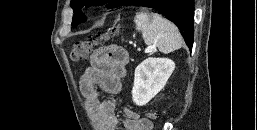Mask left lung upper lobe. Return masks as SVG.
<instances>
[{"label": "left lung upper lobe", "mask_w": 257, "mask_h": 130, "mask_svg": "<svg viewBox=\"0 0 257 130\" xmlns=\"http://www.w3.org/2000/svg\"><path fill=\"white\" fill-rule=\"evenodd\" d=\"M136 1L137 0H112L111 2L110 0H71L70 5L74 10L72 26H77L79 23L86 21V17L80 11V9L85 5L88 7L97 3L110 2L108 7L114 8L129 3L136 4Z\"/></svg>", "instance_id": "5c2ea615"}]
</instances>
